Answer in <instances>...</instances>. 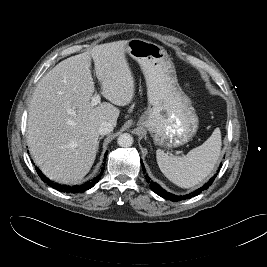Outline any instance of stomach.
Masks as SVG:
<instances>
[{"label":"stomach","mask_w":267,"mask_h":267,"mask_svg":"<svg viewBox=\"0 0 267 267\" xmlns=\"http://www.w3.org/2000/svg\"><path fill=\"white\" fill-rule=\"evenodd\" d=\"M126 53L139 63L146 80L148 108L138 125L149 130L156 145L177 147L187 143L198 130L199 118L178 83L167 51L135 38L127 41Z\"/></svg>","instance_id":"1"}]
</instances>
